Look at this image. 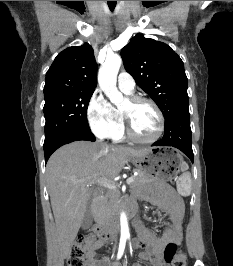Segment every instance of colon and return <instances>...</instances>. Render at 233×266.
Segmentation results:
<instances>
[{
	"label": "colon",
	"mask_w": 233,
	"mask_h": 266,
	"mask_svg": "<svg viewBox=\"0 0 233 266\" xmlns=\"http://www.w3.org/2000/svg\"><path fill=\"white\" fill-rule=\"evenodd\" d=\"M93 237V235H88L77 238L67 257V266H86L85 257L88 254L89 244ZM164 260L170 266H186L185 254L173 243L165 247Z\"/></svg>",
	"instance_id": "obj_1"
}]
</instances>
